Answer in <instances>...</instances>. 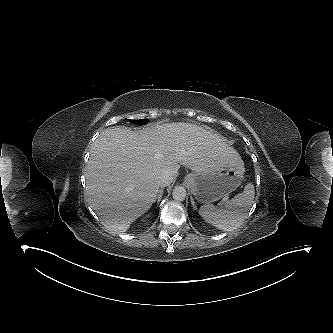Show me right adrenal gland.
Masks as SVG:
<instances>
[{"label": "right adrenal gland", "instance_id": "obj_1", "mask_svg": "<svg viewBox=\"0 0 333 333\" xmlns=\"http://www.w3.org/2000/svg\"><path fill=\"white\" fill-rule=\"evenodd\" d=\"M163 190H164L163 188L159 190V193H158V196H157V198H158L157 202H158V203L160 202V200H161V198H162Z\"/></svg>", "mask_w": 333, "mask_h": 333}]
</instances>
